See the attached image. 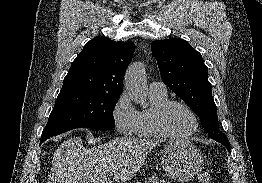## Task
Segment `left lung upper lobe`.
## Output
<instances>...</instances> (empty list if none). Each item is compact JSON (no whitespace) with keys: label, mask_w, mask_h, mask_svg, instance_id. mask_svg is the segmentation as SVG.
Segmentation results:
<instances>
[{"label":"left lung upper lobe","mask_w":262,"mask_h":183,"mask_svg":"<svg viewBox=\"0 0 262 183\" xmlns=\"http://www.w3.org/2000/svg\"><path fill=\"white\" fill-rule=\"evenodd\" d=\"M151 50L162 81L197 114L209 138L226 140L219 130L207 66L201 54L187 41L178 38L154 41Z\"/></svg>","instance_id":"obj_1"}]
</instances>
